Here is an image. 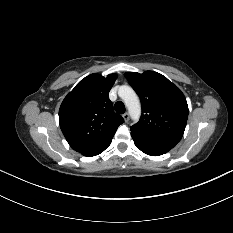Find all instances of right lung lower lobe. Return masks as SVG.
Wrapping results in <instances>:
<instances>
[{"instance_id": "obj_1", "label": "right lung lower lobe", "mask_w": 233, "mask_h": 233, "mask_svg": "<svg viewBox=\"0 0 233 233\" xmlns=\"http://www.w3.org/2000/svg\"><path fill=\"white\" fill-rule=\"evenodd\" d=\"M111 141H112V138L109 139L108 141H106L105 143H103V144L95 147V148L88 149V150L82 151L80 153L82 155H84V156H95V155H98L101 152H103L111 144Z\"/></svg>"}]
</instances>
